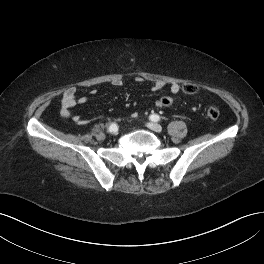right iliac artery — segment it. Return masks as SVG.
Instances as JSON below:
<instances>
[{
    "mask_svg": "<svg viewBox=\"0 0 264 264\" xmlns=\"http://www.w3.org/2000/svg\"><path fill=\"white\" fill-rule=\"evenodd\" d=\"M117 129V124L111 123L108 127V130L111 132L112 130Z\"/></svg>",
    "mask_w": 264,
    "mask_h": 264,
    "instance_id": "82829eb1",
    "label": "right iliac artery"
}]
</instances>
